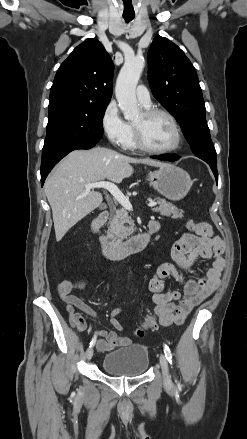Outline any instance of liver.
Segmentation results:
<instances>
[{
	"label": "liver",
	"instance_id": "liver-1",
	"mask_svg": "<svg viewBox=\"0 0 247 439\" xmlns=\"http://www.w3.org/2000/svg\"><path fill=\"white\" fill-rule=\"evenodd\" d=\"M131 163L168 165L149 158L128 157L103 147L72 151L59 163L44 185L52 209L56 241L102 203V194L87 191L85 185L105 179L119 184L132 175Z\"/></svg>",
	"mask_w": 247,
	"mask_h": 439
}]
</instances>
